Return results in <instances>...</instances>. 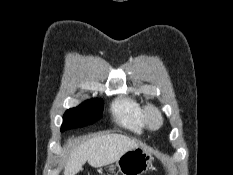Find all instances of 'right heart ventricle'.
<instances>
[{
	"label": "right heart ventricle",
	"instance_id": "e07e8e85",
	"mask_svg": "<svg viewBox=\"0 0 233 175\" xmlns=\"http://www.w3.org/2000/svg\"><path fill=\"white\" fill-rule=\"evenodd\" d=\"M114 119L123 127L136 132H143L147 126L144 121V105L132 95H122L116 98L111 105Z\"/></svg>",
	"mask_w": 233,
	"mask_h": 175
}]
</instances>
